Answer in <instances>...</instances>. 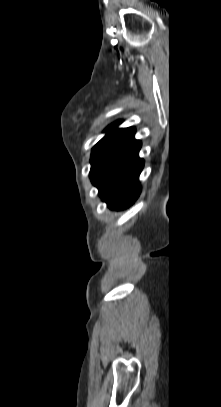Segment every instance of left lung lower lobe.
<instances>
[{
  "mask_svg": "<svg viewBox=\"0 0 221 407\" xmlns=\"http://www.w3.org/2000/svg\"><path fill=\"white\" fill-rule=\"evenodd\" d=\"M134 133V128H126L98 158L90 171L92 183L111 209L129 207L141 191L139 175L144 161L139 158L141 142L135 140Z\"/></svg>",
  "mask_w": 221,
  "mask_h": 407,
  "instance_id": "1",
  "label": "left lung lower lobe"
}]
</instances>
